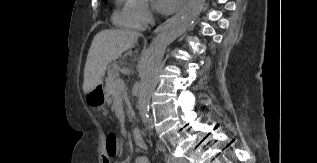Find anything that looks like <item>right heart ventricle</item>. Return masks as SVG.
Here are the masks:
<instances>
[{"label":"right heart ventricle","mask_w":317,"mask_h":163,"mask_svg":"<svg viewBox=\"0 0 317 163\" xmlns=\"http://www.w3.org/2000/svg\"><path fill=\"white\" fill-rule=\"evenodd\" d=\"M138 0H115V10L112 16L116 26L130 29H140L143 25L136 17Z\"/></svg>","instance_id":"obj_1"}]
</instances>
